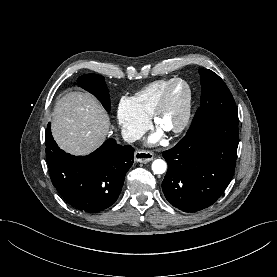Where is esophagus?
Listing matches in <instances>:
<instances>
[{
  "instance_id": "obj_1",
  "label": "esophagus",
  "mask_w": 277,
  "mask_h": 277,
  "mask_svg": "<svg viewBox=\"0 0 277 277\" xmlns=\"http://www.w3.org/2000/svg\"><path fill=\"white\" fill-rule=\"evenodd\" d=\"M154 154L150 151L137 150L134 153V160L140 163H147L153 160Z\"/></svg>"
}]
</instances>
